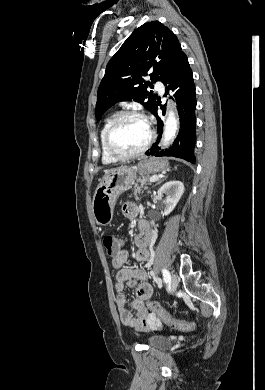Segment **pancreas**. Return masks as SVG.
<instances>
[{
  "label": "pancreas",
  "mask_w": 265,
  "mask_h": 390,
  "mask_svg": "<svg viewBox=\"0 0 265 390\" xmlns=\"http://www.w3.org/2000/svg\"><path fill=\"white\" fill-rule=\"evenodd\" d=\"M150 180L149 177H143L140 184L134 188V196L137 198L138 194H141L144 188V184Z\"/></svg>",
  "instance_id": "pancreas-1"
}]
</instances>
